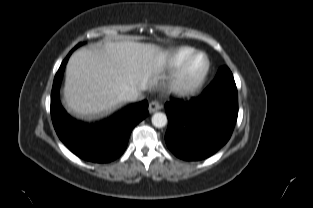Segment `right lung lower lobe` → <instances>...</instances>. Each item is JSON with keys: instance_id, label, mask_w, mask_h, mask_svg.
<instances>
[{"instance_id": "98d812e1", "label": "right lung lower lobe", "mask_w": 313, "mask_h": 208, "mask_svg": "<svg viewBox=\"0 0 313 208\" xmlns=\"http://www.w3.org/2000/svg\"><path fill=\"white\" fill-rule=\"evenodd\" d=\"M69 55L56 73L52 87L51 117L55 131L78 157L91 162H110L125 151L132 129L149 114L148 103L142 101L130 105L108 124H88L72 119L59 100L60 83Z\"/></svg>"}]
</instances>
